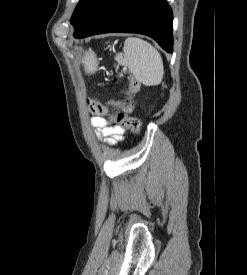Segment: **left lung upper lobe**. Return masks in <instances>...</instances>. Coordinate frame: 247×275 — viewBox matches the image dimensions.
<instances>
[{
    "label": "left lung upper lobe",
    "instance_id": "obj_1",
    "mask_svg": "<svg viewBox=\"0 0 247 275\" xmlns=\"http://www.w3.org/2000/svg\"><path fill=\"white\" fill-rule=\"evenodd\" d=\"M101 0H80L71 18L75 30L80 28Z\"/></svg>",
    "mask_w": 247,
    "mask_h": 275
}]
</instances>
